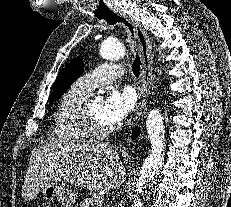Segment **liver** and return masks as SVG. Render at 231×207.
Listing matches in <instances>:
<instances>
[{"mask_svg":"<svg viewBox=\"0 0 231 207\" xmlns=\"http://www.w3.org/2000/svg\"><path fill=\"white\" fill-rule=\"evenodd\" d=\"M57 181L87 185L89 190L116 189L125 181V168L107 143L43 141L30 156L22 198L32 200L45 185Z\"/></svg>","mask_w":231,"mask_h":207,"instance_id":"6515ba94","label":"liver"}]
</instances>
